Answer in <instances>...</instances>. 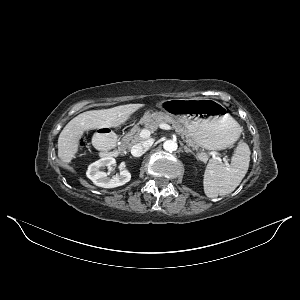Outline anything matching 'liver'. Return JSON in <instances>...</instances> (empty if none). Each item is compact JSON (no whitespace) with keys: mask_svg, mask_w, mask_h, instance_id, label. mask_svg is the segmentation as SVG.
Listing matches in <instances>:
<instances>
[{"mask_svg":"<svg viewBox=\"0 0 300 300\" xmlns=\"http://www.w3.org/2000/svg\"><path fill=\"white\" fill-rule=\"evenodd\" d=\"M142 104H127L110 109L86 111L73 118L61 131L58 138V157L64 167L75 158L83 133L92 129L118 127Z\"/></svg>","mask_w":300,"mask_h":300,"instance_id":"liver-1","label":"liver"}]
</instances>
